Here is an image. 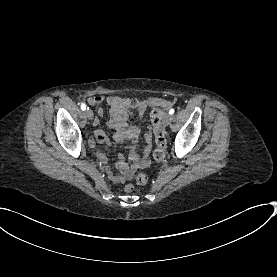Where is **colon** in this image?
Here are the masks:
<instances>
[{
	"instance_id": "5ec220e1",
	"label": "colon",
	"mask_w": 277,
	"mask_h": 277,
	"mask_svg": "<svg viewBox=\"0 0 277 277\" xmlns=\"http://www.w3.org/2000/svg\"><path fill=\"white\" fill-rule=\"evenodd\" d=\"M131 105L136 106L139 104V101L136 99L130 100ZM147 105L150 107H154V102H147ZM163 116L164 111L160 107H155L151 113L152 123H153V129L155 132V138H156V145L157 148L154 151L153 159L156 162H160L164 158L165 153V147H166V138L163 131ZM150 177L146 173H140L136 176L135 181L137 184H146L149 181ZM132 188V186H129V189Z\"/></svg>"
}]
</instances>
